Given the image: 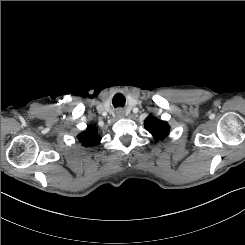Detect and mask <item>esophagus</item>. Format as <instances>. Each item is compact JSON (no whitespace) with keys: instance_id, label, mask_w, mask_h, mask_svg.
<instances>
[{"instance_id":"1","label":"esophagus","mask_w":245,"mask_h":245,"mask_svg":"<svg viewBox=\"0 0 245 245\" xmlns=\"http://www.w3.org/2000/svg\"><path fill=\"white\" fill-rule=\"evenodd\" d=\"M116 114H117L118 117H124L125 112H124L123 109H118L116 111Z\"/></svg>"}]
</instances>
